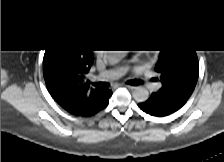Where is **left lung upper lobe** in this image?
<instances>
[{"label": "left lung upper lobe", "instance_id": "left-lung-upper-lobe-1", "mask_svg": "<svg viewBox=\"0 0 224 162\" xmlns=\"http://www.w3.org/2000/svg\"><path fill=\"white\" fill-rule=\"evenodd\" d=\"M155 71L160 73L163 97L188 100L195 89L199 64L195 50L183 41L170 39L161 45Z\"/></svg>", "mask_w": 224, "mask_h": 162}]
</instances>
